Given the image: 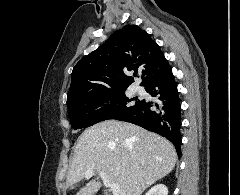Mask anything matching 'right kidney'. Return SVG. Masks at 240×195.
Here are the masks:
<instances>
[{
	"label": "right kidney",
	"mask_w": 240,
	"mask_h": 195,
	"mask_svg": "<svg viewBox=\"0 0 240 195\" xmlns=\"http://www.w3.org/2000/svg\"><path fill=\"white\" fill-rule=\"evenodd\" d=\"M145 195H168V187L164 183H157Z\"/></svg>",
	"instance_id": "right-kidney-1"
}]
</instances>
